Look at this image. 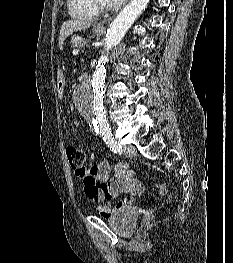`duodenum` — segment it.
I'll list each match as a JSON object with an SVG mask.
<instances>
[{"label":"duodenum","mask_w":233,"mask_h":263,"mask_svg":"<svg viewBox=\"0 0 233 263\" xmlns=\"http://www.w3.org/2000/svg\"><path fill=\"white\" fill-rule=\"evenodd\" d=\"M81 80H82L83 82H85V81L87 80V74H83V75L81 76Z\"/></svg>","instance_id":"duodenum-1"}]
</instances>
